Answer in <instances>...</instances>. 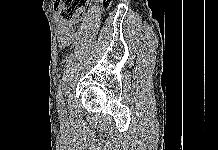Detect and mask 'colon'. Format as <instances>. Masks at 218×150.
Here are the masks:
<instances>
[{"label": "colon", "mask_w": 218, "mask_h": 150, "mask_svg": "<svg viewBox=\"0 0 218 150\" xmlns=\"http://www.w3.org/2000/svg\"><path fill=\"white\" fill-rule=\"evenodd\" d=\"M87 3L88 0H57L55 8L64 19L75 23L82 18ZM102 4L107 7L110 0H103Z\"/></svg>", "instance_id": "colon-1"}]
</instances>
